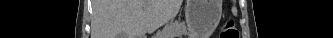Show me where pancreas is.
Here are the masks:
<instances>
[{"label":"pancreas","mask_w":333,"mask_h":38,"mask_svg":"<svg viewBox=\"0 0 333 38\" xmlns=\"http://www.w3.org/2000/svg\"><path fill=\"white\" fill-rule=\"evenodd\" d=\"M167 31H173V32H180L183 33L186 31V27L184 25H178V26H169L165 29V32ZM163 34V33H160Z\"/></svg>","instance_id":"1"}]
</instances>
